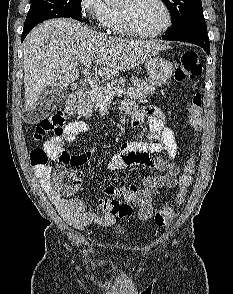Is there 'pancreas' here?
Here are the masks:
<instances>
[{
    "label": "pancreas",
    "instance_id": "pancreas-1",
    "mask_svg": "<svg viewBox=\"0 0 233 294\" xmlns=\"http://www.w3.org/2000/svg\"><path fill=\"white\" fill-rule=\"evenodd\" d=\"M120 80H117L115 83H110L109 86L92 88L90 91L86 92L85 99L81 102L78 113L81 116L90 117L94 110H97L101 103L105 99H112L113 96H109L106 93L109 89H122ZM132 86H130L125 94L131 99H146L149 95L155 92V88L147 81L133 76L131 78Z\"/></svg>",
    "mask_w": 233,
    "mask_h": 294
}]
</instances>
